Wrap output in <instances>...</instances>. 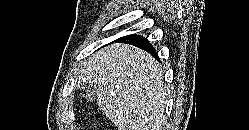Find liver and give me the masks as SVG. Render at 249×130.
I'll return each instance as SVG.
<instances>
[{"mask_svg":"<svg viewBox=\"0 0 249 130\" xmlns=\"http://www.w3.org/2000/svg\"><path fill=\"white\" fill-rule=\"evenodd\" d=\"M162 76L147 52L113 44L85 62L76 87H95L98 106L118 130H161L166 104Z\"/></svg>","mask_w":249,"mask_h":130,"instance_id":"obj_1","label":"liver"}]
</instances>
